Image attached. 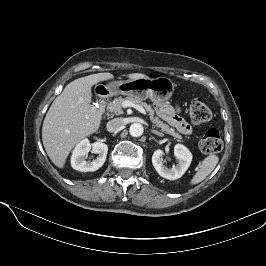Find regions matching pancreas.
Masks as SVG:
<instances>
[{"label":"pancreas","instance_id":"pancreas-1","mask_svg":"<svg viewBox=\"0 0 266 266\" xmlns=\"http://www.w3.org/2000/svg\"><path fill=\"white\" fill-rule=\"evenodd\" d=\"M125 100L131 101L134 104L141 105L142 107H144L149 114L150 120L155 126L161 128L162 131L174 136L175 138L182 139V136L179 133L175 132L174 129L170 128L169 125L165 124L162 120L159 119V117L155 116L154 109L150 105L132 96H127L126 98H115L112 102L108 103L107 109L116 115L123 114L122 103Z\"/></svg>","mask_w":266,"mask_h":266}]
</instances>
